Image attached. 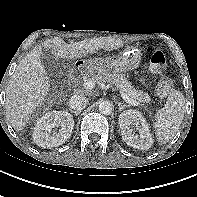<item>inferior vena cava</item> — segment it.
<instances>
[{
    "label": "inferior vena cava",
    "mask_w": 197,
    "mask_h": 197,
    "mask_svg": "<svg viewBox=\"0 0 197 197\" xmlns=\"http://www.w3.org/2000/svg\"><path fill=\"white\" fill-rule=\"evenodd\" d=\"M88 100L84 95H73L69 100V106L75 112H81L87 106Z\"/></svg>",
    "instance_id": "602c4592"
}]
</instances>
